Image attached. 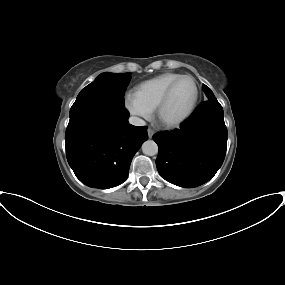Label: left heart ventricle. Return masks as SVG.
I'll use <instances>...</instances> for the list:
<instances>
[{"mask_svg":"<svg viewBox=\"0 0 285 285\" xmlns=\"http://www.w3.org/2000/svg\"><path fill=\"white\" fill-rule=\"evenodd\" d=\"M195 96L193 82L184 78L175 86L168 103L163 110L165 120H176L183 116L190 108Z\"/></svg>","mask_w":285,"mask_h":285,"instance_id":"obj_1","label":"left heart ventricle"}]
</instances>
